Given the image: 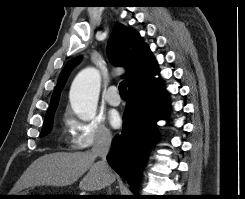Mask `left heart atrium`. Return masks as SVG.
I'll use <instances>...</instances> for the list:
<instances>
[{"label": "left heart atrium", "instance_id": "left-heart-atrium-1", "mask_svg": "<svg viewBox=\"0 0 245 199\" xmlns=\"http://www.w3.org/2000/svg\"><path fill=\"white\" fill-rule=\"evenodd\" d=\"M109 122L112 127L118 128L121 124V117L117 112H111L109 115Z\"/></svg>", "mask_w": 245, "mask_h": 199}]
</instances>
